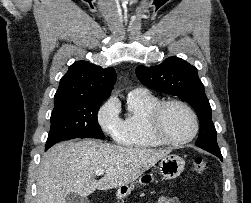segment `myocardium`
<instances>
[{"label":"myocardium","instance_id":"f54148a6","mask_svg":"<svg viewBox=\"0 0 251 203\" xmlns=\"http://www.w3.org/2000/svg\"><path fill=\"white\" fill-rule=\"evenodd\" d=\"M170 105L182 106L188 111V113L190 114L192 118L193 130L191 134L184 139L175 140V139L169 138L162 130L163 114L166 108L169 107ZM147 125H148V131L150 135L155 140H157L161 144L173 145V146L185 145L191 142L197 136L198 131H199V119L196 112L187 102L180 99H169L165 101H160L158 104H156L149 113Z\"/></svg>","mask_w":251,"mask_h":203}]
</instances>
